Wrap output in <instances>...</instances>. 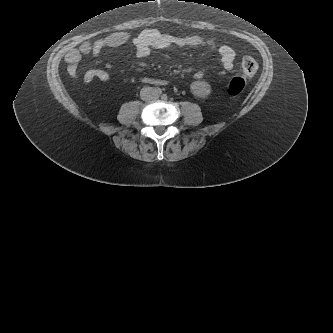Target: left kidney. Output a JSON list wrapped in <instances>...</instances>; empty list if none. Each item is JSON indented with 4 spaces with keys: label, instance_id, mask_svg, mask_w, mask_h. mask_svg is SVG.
<instances>
[{
    "label": "left kidney",
    "instance_id": "obj_1",
    "mask_svg": "<svg viewBox=\"0 0 333 333\" xmlns=\"http://www.w3.org/2000/svg\"><path fill=\"white\" fill-rule=\"evenodd\" d=\"M197 83H195L193 85V87H196ZM197 94H200V95H207V92L206 91H196Z\"/></svg>",
    "mask_w": 333,
    "mask_h": 333
}]
</instances>
